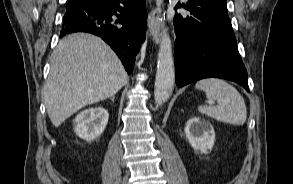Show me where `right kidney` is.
Listing matches in <instances>:
<instances>
[{"label": "right kidney", "instance_id": "obj_1", "mask_svg": "<svg viewBox=\"0 0 293 184\" xmlns=\"http://www.w3.org/2000/svg\"><path fill=\"white\" fill-rule=\"evenodd\" d=\"M108 118V111L102 107L86 109L75 117L74 132L87 142L94 141L103 133Z\"/></svg>", "mask_w": 293, "mask_h": 184}]
</instances>
